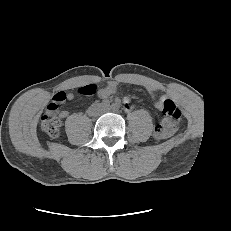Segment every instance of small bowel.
Masks as SVG:
<instances>
[{
    "label": "small bowel",
    "mask_w": 231,
    "mask_h": 231,
    "mask_svg": "<svg viewBox=\"0 0 231 231\" xmlns=\"http://www.w3.org/2000/svg\"><path fill=\"white\" fill-rule=\"evenodd\" d=\"M116 83L114 84H111L109 85L108 87L104 88V89H101L99 91V95H101L102 92H107L109 95H111L112 93H114L116 91ZM147 90L150 92V93H153L155 91L158 90V88L156 87H153V86H148L147 87ZM54 97H58L59 100L57 101V103H61V102H64V101H70L74 98V94L73 93H66V92H59L57 93ZM166 97L165 96H162L158 103H157V107L158 108H162V104H163V101ZM124 103H125V106L127 107V109H131L133 106H132V103L130 101V99L128 97H125L124 98ZM56 113L58 114V116L60 118H65L67 115H68V112L65 111V110H61V111H58L56 109Z\"/></svg>",
    "instance_id": "obj_1"
}]
</instances>
